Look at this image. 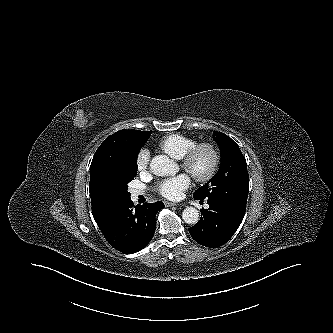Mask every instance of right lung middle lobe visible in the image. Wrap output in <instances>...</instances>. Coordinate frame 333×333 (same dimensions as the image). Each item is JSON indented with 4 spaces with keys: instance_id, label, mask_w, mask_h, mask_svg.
<instances>
[{
    "instance_id": "right-lung-middle-lobe-1",
    "label": "right lung middle lobe",
    "mask_w": 333,
    "mask_h": 333,
    "mask_svg": "<svg viewBox=\"0 0 333 333\" xmlns=\"http://www.w3.org/2000/svg\"><path fill=\"white\" fill-rule=\"evenodd\" d=\"M144 142L128 149L115 163L111 173V188L119 201L130 199L128 183L137 175V157Z\"/></svg>"
}]
</instances>
